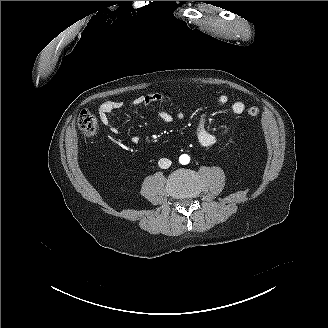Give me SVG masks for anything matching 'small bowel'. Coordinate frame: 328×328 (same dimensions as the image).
I'll use <instances>...</instances> for the list:
<instances>
[{"instance_id":"small-bowel-1","label":"small bowel","mask_w":328,"mask_h":328,"mask_svg":"<svg viewBox=\"0 0 328 328\" xmlns=\"http://www.w3.org/2000/svg\"><path fill=\"white\" fill-rule=\"evenodd\" d=\"M171 100V95L164 91L148 93L140 95L133 99L131 102L132 106H148L158 102H168ZM217 102L221 105H225L229 102V98L225 94H220L217 97ZM123 103L117 100H108L103 102L98 109V114L100 120L106 126H109V130L112 134H118V129L112 126L110 123V114L120 108H122ZM245 104L242 101H235L231 105V110L236 114H241L245 110ZM159 117L164 122H171L175 117L181 118V113H176L175 115L166 109H162L158 112ZM207 118L205 115L201 116L198 124L195 127L194 134L198 143L203 147H210L215 144L216 136L210 132L206 127ZM139 138L134 136L131 138L133 144H137Z\"/></svg>"}]
</instances>
